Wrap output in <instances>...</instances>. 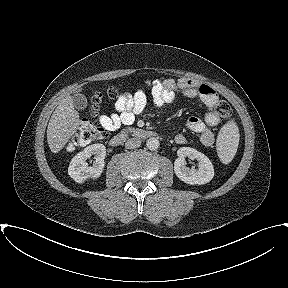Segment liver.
<instances>
[{
  "label": "liver",
  "mask_w": 288,
  "mask_h": 288,
  "mask_svg": "<svg viewBox=\"0 0 288 288\" xmlns=\"http://www.w3.org/2000/svg\"><path fill=\"white\" fill-rule=\"evenodd\" d=\"M79 117V113L74 109L71 96H67L60 101L47 127V142L53 153L61 151L76 133L80 124Z\"/></svg>",
  "instance_id": "liver-1"
}]
</instances>
